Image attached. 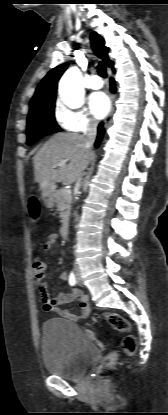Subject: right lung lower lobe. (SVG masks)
<instances>
[{"instance_id":"98d812e1","label":"right lung lower lobe","mask_w":168,"mask_h":415,"mask_svg":"<svg viewBox=\"0 0 168 415\" xmlns=\"http://www.w3.org/2000/svg\"><path fill=\"white\" fill-rule=\"evenodd\" d=\"M110 82H111V91L114 92L115 91L114 80L111 78ZM103 132H104L103 123H100V125L98 127V136H97V139H96V142H95V147L99 146V144L102 140V137H103Z\"/></svg>"}]
</instances>
